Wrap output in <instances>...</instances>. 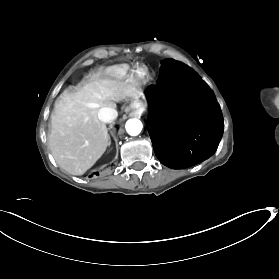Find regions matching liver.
<instances>
[{
    "label": "liver",
    "instance_id": "liver-1",
    "mask_svg": "<svg viewBox=\"0 0 279 279\" xmlns=\"http://www.w3.org/2000/svg\"><path fill=\"white\" fill-rule=\"evenodd\" d=\"M141 89L123 80L115 66L75 93L62 94L51 114L48 145L60 168L84 174L106 151L109 135L98 118L101 108H116L126 98L138 99Z\"/></svg>",
    "mask_w": 279,
    "mask_h": 279
}]
</instances>
